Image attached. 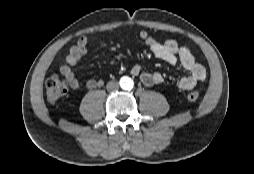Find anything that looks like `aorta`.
I'll use <instances>...</instances> for the list:
<instances>
[{
	"mask_svg": "<svg viewBox=\"0 0 254 174\" xmlns=\"http://www.w3.org/2000/svg\"><path fill=\"white\" fill-rule=\"evenodd\" d=\"M132 86H133V84H132V82H131L129 79H127V80H126V83L123 84V88H124V89H131Z\"/></svg>",
	"mask_w": 254,
	"mask_h": 174,
	"instance_id": "aorta-1",
	"label": "aorta"
}]
</instances>
